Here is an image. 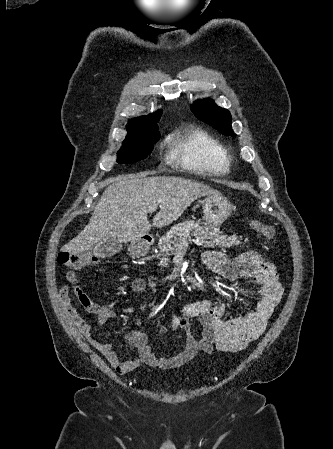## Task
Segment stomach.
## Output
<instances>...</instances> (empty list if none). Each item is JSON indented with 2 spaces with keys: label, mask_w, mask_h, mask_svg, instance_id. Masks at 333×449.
Listing matches in <instances>:
<instances>
[{
  "label": "stomach",
  "mask_w": 333,
  "mask_h": 449,
  "mask_svg": "<svg viewBox=\"0 0 333 449\" xmlns=\"http://www.w3.org/2000/svg\"><path fill=\"white\" fill-rule=\"evenodd\" d=\"M203 220L208 227L220 226L231 215L233 206L221 194L207 196L202 202ZM131 252L135 256H143L147 252L144 243L139 242L131 248Z\"/></svg>",
  "instance_id": "0dacf381"
}]
</instances>
